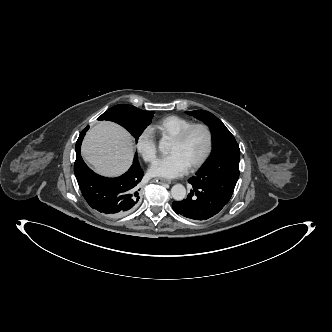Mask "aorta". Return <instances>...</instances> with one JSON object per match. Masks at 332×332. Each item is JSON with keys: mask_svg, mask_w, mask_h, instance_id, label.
I'll return each mask as SVG.
<instances>
[{"mask_svg": "<svg viewBox=\"0 0 332 332\" xmlns=\"http://www.w3.org/2000/svg\"><path fill=\"white\" fill-rule=\"evenodd\" d=\"M166 148V142L161 141L159 143L160 151H164ZM171 195L174 200L182 201L186 197V189L182 184H176L171 188Z\"/></svg>", "mask_w": 332, "mask_h": 332, "instance_id": "762f6f07", "label": "aorta"}]
</instances>
